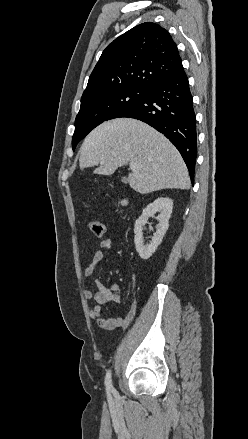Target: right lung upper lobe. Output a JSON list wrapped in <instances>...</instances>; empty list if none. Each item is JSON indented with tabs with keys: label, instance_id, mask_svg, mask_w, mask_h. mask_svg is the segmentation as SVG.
Returning a JSON list of instances; mask_svg holds the SVG:
<instances>
[{
	"label": "right lung upper lobe",
	"instance_id": "cb5924a9",
	"mask_svg": "<svg viewBox=\"0 0 248 439\" xmlns=\"http://www.w3.org/2000/svg\"><path fill=\"white\" fill-rule=\"evenodd\" d=\"M182 69L177 45L166 29L152 22L137 25L103 51L81 104L122 88L148 90Z\"/></svg>",
	"mask_w": 248,
	"mask_h": 439
}]
</instances>
